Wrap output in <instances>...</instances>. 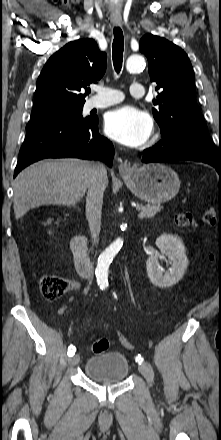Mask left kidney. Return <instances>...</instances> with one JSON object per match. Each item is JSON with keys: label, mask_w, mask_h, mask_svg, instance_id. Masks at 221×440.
Listing matches in <instances>:
<instances>
[{"label": "left kidney", "mask_w": 221, "mask_h": 440, "mask_svg": "<svg viewBox=\"0 0 221 440\" xmlns=\"http://www.w3.org/2000/svg\"><path fill=\"white\" fill-rule=\"evenodd\" d=\"M156 245L161 254L148 258L146 262L148 277L159 288L171 287L182 279L188 266L184 244L177 236L162 234L157 238ZM160 259H165L170 265L167 271L160 268Z\"/></svg>", "instance_id": "obj_1"}]
</instances>
